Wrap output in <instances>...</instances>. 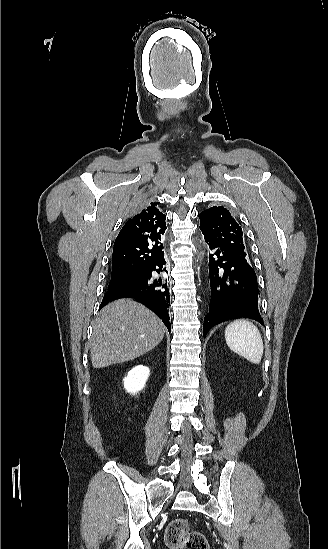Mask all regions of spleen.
I'll use <instances>...</instances> for the list:
<instances>
[{
	"label": "spleen",
	"instance_id": "3e777b00",
	"mask_svg": "<svg viewBox=\"0 0 328 549\" xmlns=\"http://www.w3.org/2000/svg\"><path fill=\"white\" fill-rule=\"evenodd\" d=\"M225 341L233 353H237L255 365L261 363L264 351L262 337L257 327L250 321L246 319L232 321L225 329Z\"/></svg>",
	"mask_w": 328,
	"mask_h": 549
}]
</instances>
